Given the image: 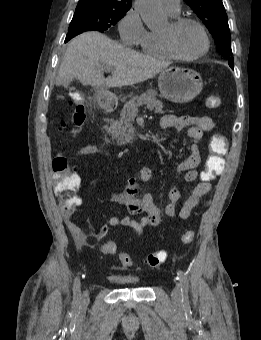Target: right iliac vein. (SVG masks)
Returning <instances> with one entry per match:
<instances>
[{"label":"right iliac vein","instance_id":"1","mask_svg":"<svg viewBox=\"0 0 261 340\" xmlns=\"http://www.w3.org/2000/svg\"><path fill=\"white\" fill-rule=\"evenodd\" d=\"M82 300L83 302H87L89 300V295L87 291H84L83 295H82Z\"/></svg>","mask_w":261,"mask_h":340}]
</instances>
